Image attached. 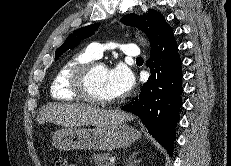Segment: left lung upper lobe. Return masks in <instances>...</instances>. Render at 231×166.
<instances>
[{
  "label": "left lung upper lobe",
  "instance_id": "obj_1",
  "mask_svg": "<svg viewBox=\"0 0 231 166\" xmlns=\"http://www.w3.org/2000/svg\"><path fill=\"white\" fill-rule=\"evenodd\" d=\"M121 21L125 25L137 27L144 32L148 37L151 46H153L160 36L170 28V25L165 21V18L154 9H149L148 13L142 17H139L137 14H127L121 19ZM99 25V23L88 25L79 28L70 34L65 42L56 50L55 61L60 55L76 47L81 40L93 35Z\"/></svg>",
  "mask_w": 231,
  "mask_h": 166
}]
</instances>
